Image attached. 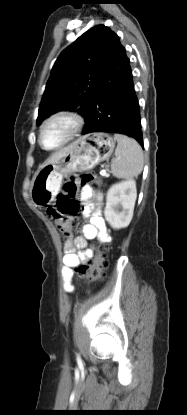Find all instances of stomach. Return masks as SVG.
I'll return each instance as SVG.
<instances>
[{
  "instance_id": "obj_1",
  "label": "stomach",
  "mask_w": 187,
  "mask_h": 415,
  "mask_svg": "<svg viewBox=\"0 0 187 415\" xmlns=\"http://www.w3.org/2000/svg\"><path fill=\"white\" fill-rule=\"evenodd\" d=\"M115 143L110 134L102 132L88 134L73 142L60 160L44 164L35 173L30 188L33 203L38 207L51 204L64 176L92 169L108 159Z\"/></svg>"
}]
</instances>
